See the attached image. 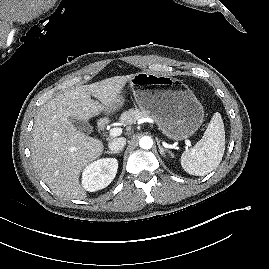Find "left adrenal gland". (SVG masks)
Returning a JSON list of instances; mask_svg holds the SVG:
<instances>
[{"label": "left adrenal gland", "instance_id": "a2214340", "mask_svg": "<svg viewBox=\"0 0 269 269\" xmlns=\"http://www.w3.org/2000/svg\"><path fill=\"white\" fill-rule=\"evenodd\" d=\"M157 145H158V148H159V151H160V154L163 155V156H166L165 154L168 153L170 156H173L171 151L167 150V149H164L161 145H160V142L157 140Z\"/></svg>", "mask_w": 269, "mask_h": 269}]
</instances>
